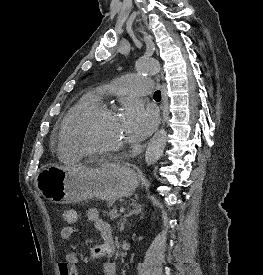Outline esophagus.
Segmentation results:
<instances>
[{"instance_id":"esophagus-1","label":"esophagus","mask_w":263,"mask_h":275,"mask_svg":"<svg viewBox=\"0 0 263 275\" xmlns=\"http://www.w3.org/2000/svg\"><path fill=\"white\" fill-rule=\"evenodd\" d=\"M164 91H165V87L162 86V99L164 98Z\"/></svg>"}]
</instances>
